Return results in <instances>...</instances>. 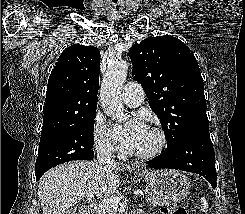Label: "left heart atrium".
I'll list each match as a JSON object with an SVG mask.
<instances>
[{"label":"left heart atrium","instance_id":"left-heart-atrium-1","mask_svg":"<svg viewBox=\"0 0 245 214\" xmlns=\"http://www.w3.org/2000/svg\"><path fill=\"white\" fill-rule=\"evenodd\" d=\"M146 125L138 118L131 120L124 127L116 128V135L122 146L126 150H131L136 146L140 138L146 131Z\"/></svg>","mask_w":245,"mask_h":214}]
</instances>
